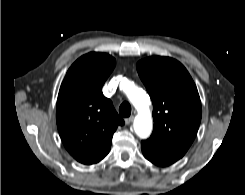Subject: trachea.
I'll list each match as a JSON object with an SVG mask.
<instances>
[{"label":"trachea","instance_id":"trachea-1","mask_svg":"<svg viewBox=\"0 0 245 195\" xmlns=\"http://www.w3.org/2000/svg\"><path fill=\"white\" fill-rule=\"evenodd\" d=\"M119 114L122 117H129L131 114V106L128 102H123L119 107Z\"/></svg>","mask_w":245,"mask_h":195}]
</instances>
